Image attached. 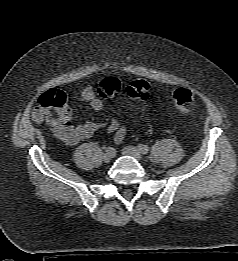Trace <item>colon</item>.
Masks as SVG:
<instances>
[{"label": "colon", "mask_w": 238, "mask_h": 261, "mask_svg": "<svg viewBox=\"0 0 238 261\" xmlns=\"http://www.w3.org/2000/svg\"><path fill=\"white\" fill-rule=\"evenodd\" d=\"M102 98L114 97L121 91L120 82L115 78H107L96 87ZM126 95L130 101L146 100L150 95V85L143 79L132 81L126 87ZM195 92L191 89L178 88L172 94L174 106L183 114L189 113L194 105ZM34 117L37 120L46 119L50 125L63 123L70 117L68 97L61 90L51 89L38 99V107Z\"/></svg>", "instance_id": "colon-1"}]
</instances>
